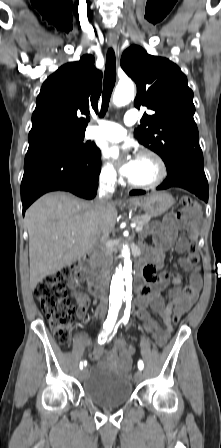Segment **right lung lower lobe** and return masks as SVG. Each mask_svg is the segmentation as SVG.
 <instances>
[{"label": "right lung lower lobe", "mask_w": 221, "mask_h": 448, "mask_svg": "<svg viewBox=\"0 0 221 448\" xmlns=\"http://www.w3.org/2000/svg\"><path fill=\"white\" fill-rule=\"evenodd\" d=\"M100 171L99 149L87 158L60 149L28 151L21 183L23 214L38 197L50 191H69L82 198H94Z\"/></svg>", "instance_id": "1"}]
</instances>
